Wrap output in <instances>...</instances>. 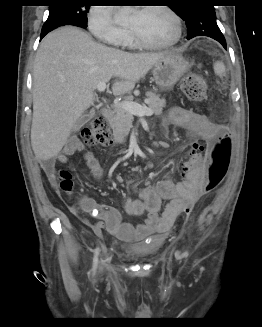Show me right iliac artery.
<instances>
[{
  "label": "right iliac artery",
  "instance_id": "right-iliac-artery-1",
  "mask_svg": "<svg viewBox=\"0 0 262 327\" xmlns=\"http://www.w3.org/2000/svg\"><path fill=\"white\" fill-rule=\"evenodd\" d=\"M98 252H99L98 249H95V256H94L93 268H92L93 273H95L97 262H98Z\"/></svg>",
  "mask_w": 262,
  "mask_h": 327
}]
</instances>
